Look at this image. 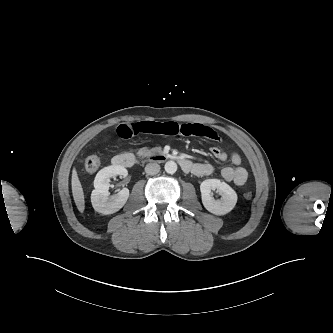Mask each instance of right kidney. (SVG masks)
Returning a JSON list of instances; mask_svg holds the SVG:
<instances>
[{"mask_svg": "<svg viewBox=\"0 0 333 333\" xmlns=\"http://www.w3.org/2000/svg\"><path fill=\"white\" fill-rule=\"evenodd\" d=\"M128 171L120 165H111L101 169L94 180L95 189L91 193V203L95 211L109 215L120 210L129 197V190L123 188L118 194L109 196L110 178L123 175L127 176Z\"/></svg>", "mask_w": 333, "mask_h": 333, "instance_id": "1", "label": "right kidney"}]
</instances>
